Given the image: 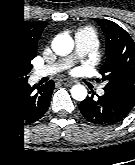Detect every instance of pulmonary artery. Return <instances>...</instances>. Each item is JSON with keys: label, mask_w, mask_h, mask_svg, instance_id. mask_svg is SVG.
I'll return each mask as SVG.
<instances>
[{"label": "pulmonary artery", "mask_w": 135, "mask_h": 165, "mask_svg": "<svg viewBox=\"0 0 135 165\" xmlns=\"http://www.w3.org/2000/svg\"><path fill=\"white\" fill-rule=\"evenodd\" d=\"M93 47V41L91 37L87 34H78L76 35V58L84 57ZM72 63L71 59L62 60L50 67H46L40 70V74H44L48 71L56 72L61 71L69 67ZM103 90L100 89L99 93H102Z\"/></svg>", "instance_id": "e3ab8cb5"}]
</instances>
